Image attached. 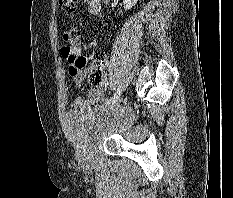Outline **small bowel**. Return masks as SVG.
<instances>
[{
  "mask_svg": "<svg viewBox=\"0 0 233 198\" xmlns=\"http://www.w3.org/2000/svg\"><path fill=\"white\" fill-rule=\"evenodd\" d=\"M62 55L68 59L70 63L68 70L69 75L72 77L76 86H81L84 79L91 74L97 66L101 67L98 62L87 65V59L80 55L79 50L76 47H64L62 49ZM105 91L106 85L100 83L96 88H93L88 92L87 98L78 97L73 101L72 105L78 110H88L92 105L103 98Z\"/></svg>",
  "mask_w": 233,
  "mask_h": 198,
  "instance_id": "obj_1",
  "label": "small bowel"
}]
</instances>
